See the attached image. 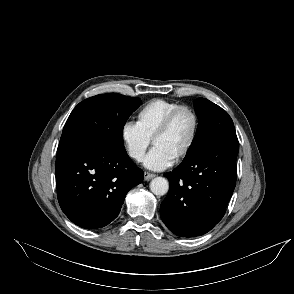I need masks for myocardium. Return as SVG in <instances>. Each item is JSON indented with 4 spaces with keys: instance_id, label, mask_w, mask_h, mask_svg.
<instances>
[{
    "instance_id": "obj_1",
    "label": "myocardium",
    "mask_w": 294,
    "mask_h": 294,
    "mask_svg": "<svg viewBox=\"0 0 294 294\" xmlns=\"http://www.w3.org/2000/svg\"><path fill=\"white\" fill-rule=\"evenodd\" d=\"M184 111L188 112L193 118V130L188 144L183 149V151L176 157V162H180L183 159H185L189 155L197 141L200 130V119L196 110L190 105H179L165 117V119L162 121V123L160 124V126L158 127V129L152 137V143L155 144L156 140L163 136L170 129L176 117Z\"/></svg>"
}]
</instances>
